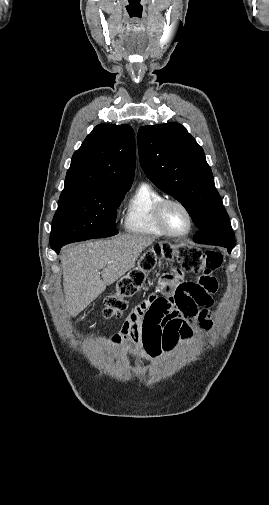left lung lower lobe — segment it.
Masks as SVG:
<instances>
[{"mask_svg": "<svg viewBox=\"0 0 269 505\" xmlns=\"http://www.w3.org/2000/svg\"><path fill=\"white\" fill-rule=\"evenodd\" d=\"M196 243H197V242H196ZM226 248L228 249V252H229V253H231V251H232V249H233L234 247L226 246Z\"/></svg>", "mask_w": 269, "mask_h": 505, "instance_id": "left-lung-lower-lobe-1", "label": "left lung lower lobe"}]
</instances>
